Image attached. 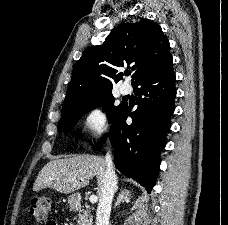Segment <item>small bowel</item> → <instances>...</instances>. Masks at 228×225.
<instances>
[{"mask_svg": "<svg viewBox=\"0 0 228 225\" xmlns=\"http://www.w3.org/2000/svg\"><path fill=\"white\" fill-rule=\"evenodd\" d=\"M52 225H58V223H57V222H55V221H53V222H52Z\"/></svg>", "mask_w": 228, "mask_h": 225, "instance_id": "c3829d8e", "label": "small bowel"}]
</instances>
